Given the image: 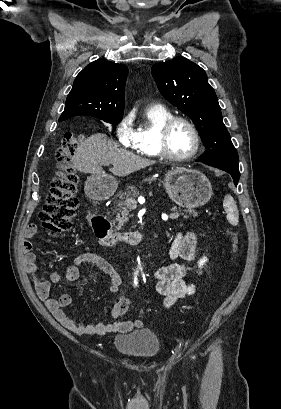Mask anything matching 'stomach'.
Instances as JSON below:
<instances>
[{"label": "stomach", "mask_w": 281, "mask_h": 409, "mask_svg": "<svg viewBox=\"0 0 281 409\" xmlns=\"http://www.w3.org/2000/svg\"><path fill=\"white\" fill-rule=\"evenodd\" d=\"M163 184L176 205L186 209L202 207L213 194L209 178L194 168L176 166L174 170L166 172ZM117 186L118 182L114 176H89L84 190L93 200H106L114 194Z\"/></svg>", "instance_id": "0dacf381"}]
</instances>
